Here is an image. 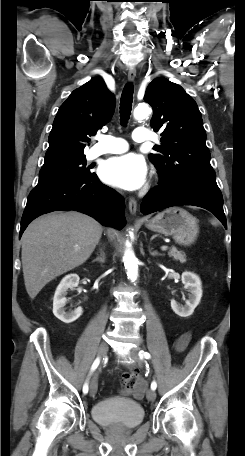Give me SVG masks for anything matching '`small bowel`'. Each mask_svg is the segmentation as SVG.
I'll list each match as a JSON object with an SVG mask.
<instances>
[{"label":"small bowel","instance_id":"small-bowel-1","mask_svg":"<svg viewBox=\"0 0 245 456\" xmlns=\"http://www.w3.org/2000/svg\"><path fill=\"white\" fill-rule=\"evenodd\" d=\"M189 338H190V336L187 333L181 335V337L178 339V341L176 343V350L177 351L184 350L185 347L187 346L188 342H189ZM144 388H145V385L141 384L140 387H138V389H136L134 391V395H136L137 397L141 396Z\"/></svg>","mask_w":245,"mask_h":456}]
</instances>
